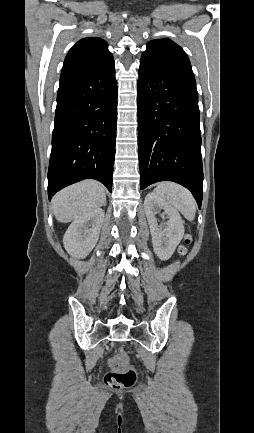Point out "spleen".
I'll use <instances>...</instances> for the list:
<instances>
[{
  "instance_id": "obj_1",
  "label": "spleen",
  "mask_w": 254,
  "mask_h": 433,
  "mask_svg": "<svg viewBox=\"0 0 254 433\" xmlns=\"http://www.w3.org/2000/svg\"><path fill=\"white\" fill-rule=\"evenodd\" d=\"M154 192L178 209L187 220H194L196 202L186 188L173 182H162L157 185Z\"/></svg>"
}]
</instances>
